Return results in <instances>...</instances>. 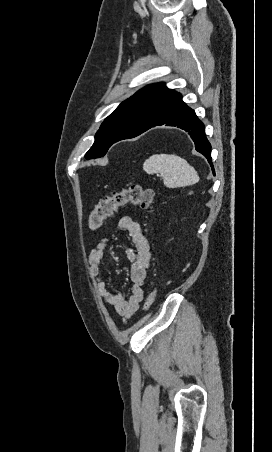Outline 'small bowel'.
I'll return each instance as SVG.
<instances>
[{"label":"small bowel","instance_id":"obj_1","mask_svg":"<svg viewBox=\"0 0 272 452\" xmlns=\"http://www.w3.org/2000/svg\"><path fill=\"white\" fill-rule=\"evenodd\" d=\"M116 227L126 231L132 243V248L127 250V257L131 262L130 277L133 283L129 297L125 298L120 292L111 291L101 276V268L108 246L106 239H101L96 243L95 248L89 254L88 261L90 275L97 283L98 296L104 305L111 307L125 322L138 310L144 299L150 248L140 225L130 216L119 218Z\"/></svg>","mask_w":272,"mask_h":452}]
</instances>
